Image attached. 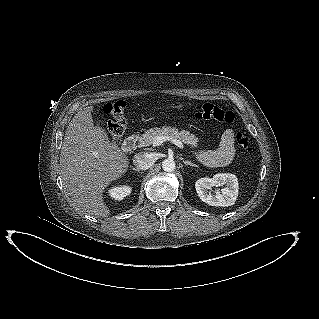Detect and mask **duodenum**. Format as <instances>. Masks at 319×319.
I'll return each instance as SVG.
<instances>
[{
  "instance_id": "1",
  "label": "duodenum",
  "mask_w": 319,
  "mask_h": 319,
  "mask_svg": "<svg viewBox=\"0 0 319 319\" xmlns=\"http://www.w3.org/2000/svg\"><path fill=\"white\" fill-rule=\"evenodd\" d=\"M136 141H137V136L135 134H131L129 135L123 142L121 145V149L123 152H131L136 145Z\"/></svg>"
}]
</instances>
